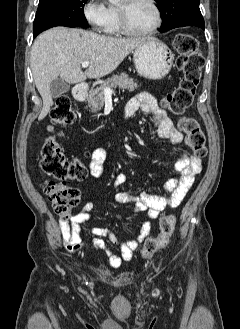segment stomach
<instances>
[{
    "label": "stomach",
    "mask_w": 240,
    "mask_h": 329,
    "mask_svg": "<svg viewBox=\"0 0 240 329\" xmlns=\"http://www.w3.org/2000/svg\"><path fill=\"white\" fill-rule=\"evenodd\" d=\"M133 59L139 75L157 80L169 73L174 55L164 43L150 37L134 49Z\"/></svg>",
    "instance_id": "stomach-1"
}]
</instances>
